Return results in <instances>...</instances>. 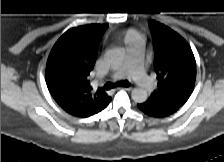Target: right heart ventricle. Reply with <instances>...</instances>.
<instances>
[{
  "mask_svg": "<svg viewBox=\"0 0 224 162\" xmlns=\"http://www.w3.org/2000/svg\"><path fill=\"white\" fill-rule=\"evenodd\" d=\"M137 35H136V33L134 32V31H128L127 33H126V41L127 42H131V41H134V40H136V39H138V37H136Z\"/></svg>",
  "mask_w": 224,
  "mask_h": 162,
  "instance_id": "right-heart-ventricle-1",
  "label": "right heart ventricle"
}]
</instances>
